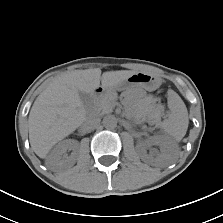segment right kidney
<instances>
[{"mask_svg": "<svg viewBox=\"0 0 223 223\" xmlns=\"http://www.w3.org/2000/svg\"><path fill=\"white\" fill-rule=\"evenodd\" d=\"M75 147L76 142L72 140H64L58 143L48 155L46 165L51 169L72 166L74 164V154L68 157L66 152L68 149Z\"/></svg>", "mask_w": 223, "mask_h": 223, "instance_id": "ca27d5eb", "label": "right kidney"}]
</instances>
